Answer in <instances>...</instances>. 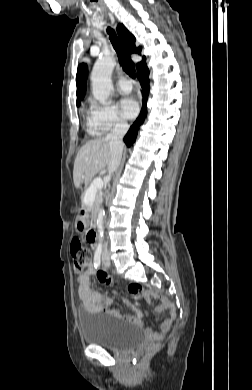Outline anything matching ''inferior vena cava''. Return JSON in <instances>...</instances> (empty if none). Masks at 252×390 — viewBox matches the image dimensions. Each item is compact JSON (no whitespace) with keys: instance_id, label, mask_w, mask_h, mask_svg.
Segmentation results:
<instances>
[{"instance_id":"obj_1","label":"inferior vena cava","mask_w":252,"mask_h":390,"mask_svg":"<svg viewBox=\"0 0 252 390\" xmlns=\"http://www.w3.org/2000/svg\"><path fill=\"white\" fill-rule=\"evenodd\" d=\"M129 125L126 123L117 124L113 131L107 135L110 145V161L108 163V176L107 180H110L111 174L117 170L120 165L123 151V142L122 139L127 133ZM107 250V244H104V251Z\"/></svg>"}]
</instances>
